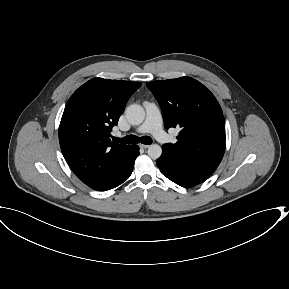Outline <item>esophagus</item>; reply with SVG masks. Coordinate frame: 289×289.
<instances>
[{"mask_svg": "<svg viewBox=\"0 0 289 289\" xmlns=\"http://www.w3.org/2000/svg\"><path fill=\"white\" fill-rule=\"evenodd\" d=\"M140 147L143 148V149H147L150 147V145H147V144H140Z\"/></svg>", "mask_w": 289, "mask_h": 289, "instance_id": "esophagus-1", "label": "esophagus"}]
</instances>
